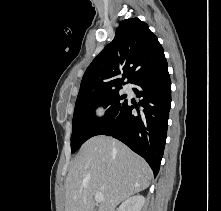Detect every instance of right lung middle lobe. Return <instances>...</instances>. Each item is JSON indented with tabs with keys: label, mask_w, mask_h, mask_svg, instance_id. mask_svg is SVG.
Returning a JSON list of instances; mask_svg holds the SVG:
<instances>
[{
	"label": "right lung middle lobe",
	"mask_w": 221,
	"mask_h": 211,
	"mask_svg": "<svg viewBox=\"0 0 221 211\" xmlns=\"http://www.w3.org/2000/svg\"><path fill=\"white\" fill-rule=\"evenodd\" d=\"M120 96L119 89L98 95L78 97L72 120L71 152L74 153L89 138L97 135L108 125L127 103ZM108 107L105 116L97 118L94 110L97 106Z\"/></svg>",
	"instance_id": "dd1d6c3e"
}]
</instances>
